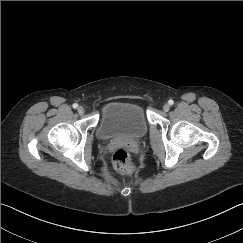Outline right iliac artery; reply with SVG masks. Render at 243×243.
I'll return each mask as SVG.
<instances>
[{"mask_svg":"<svg viewBox=\"0 0 243 243\" xmlns=\"http://www.w3.org/2000/svg\"><path fill=\"white\" fill-rule=\"evenodd\" d=\"M77 107H78V104H77V103H74V104H73V108L76 109Z\"/></svg>","mask_w":243,"mask_h":243,"instance_id":"82829eb1","label":"right iliac artery"}]
</instances>
